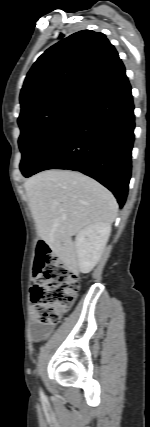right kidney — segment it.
<instances>
[{
  "label": "right kidney",
  "mask_w": 150,
  "mask_h": 427,
  "mask_svg": "<svg viewBox=\"0 0 150 427\" xmlns=\"http://www.w3.org/2000/svg\"><path fill=\"white\" fill-rule=\"evenodd\" d=\"M111 233V225L91 224L75 238L79 270L89 273L98 263Z\"/></svg>",
  "instance_id": "obj_1"
}]
</instances>
